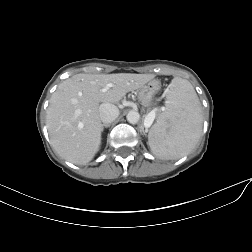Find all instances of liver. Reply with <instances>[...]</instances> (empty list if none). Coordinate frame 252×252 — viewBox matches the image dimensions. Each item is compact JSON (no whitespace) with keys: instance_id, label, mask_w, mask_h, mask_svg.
<instances>
[{"instance_id":"liver-1","label":"liver","mask_w":252,"mask_h":252,"mask_svg":"<svg viewBox=\"0 0 252 252\" xmlns=\"http://www.w3.org/2000/svg\"><path fill=\"white\" fill-rule=\"evenodd\" d=\"M149 74H76L52 94L46 126L54 150L63 159L85 165L101 145L100 103L117 104L127 92L140 89ZM111 84L106 92H102Z\"/></svg>"}]
</instances>
